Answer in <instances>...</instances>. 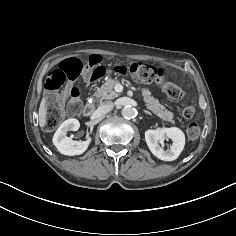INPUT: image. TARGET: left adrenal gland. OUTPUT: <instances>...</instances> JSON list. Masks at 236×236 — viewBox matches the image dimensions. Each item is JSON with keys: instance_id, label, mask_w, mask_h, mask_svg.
I'll return each instance as SVG.
<instances>
[{"instance_id": "1", "label": "left adrenal gland", "mask_w": 236, "mask_h": 236, "mask_svg": "<svg viewBox=\"0 0 236 236\" xmlns=\"http://www.w3.org/2000/svg\"><path fill=\"white\" fill-rule=\"evenodd\" d=\"M143 112H144L145 114H148V115H151V116H152V114H151L149 111H147V110H143Z\"/></svg>"}]
</instances>
